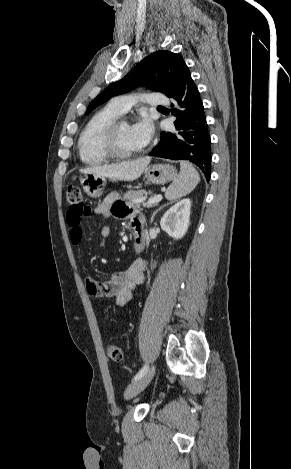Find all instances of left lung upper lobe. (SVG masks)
<instances>
[{"label": "left lung upper lobe", "mask_w": 291, "mask_h": 469, "mask_svg": "<svg viewBox=\"0 0 291 469\" xmlns=\"http://www.w3.org/2000/svg\"><path fill=\"white\" fill-rule=\"evenodd\" d=\"M188 71L185 61L179 54L157 51L143 59L123 79L114 82L102 91L88 106L90 112L113 96L123 94L132 88L143 85L161 91L169 96Z\"/></svg>", "instance_id": "5c2ea615"}]
</instances>
